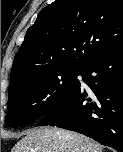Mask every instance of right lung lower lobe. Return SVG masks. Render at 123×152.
Returning a JSON list of instances; mask_svg holds the SVG:
<instances>
[{"label": "right lung lower lobe", "instance_id": "right-lung-lower-lobe-1", "mask_svg": "<svg viewBox=\"0 0 123 152\" xmlns=\"http://www.w3.org/2000/svg\"><path fill=\"white\" fill-rule=\"evenodd\" d=\"M91 92L79 87L39 126L76 131L123 152V42L99 54L81 73Z\"/></svg>", "mask_w": 123, "mask_h": 152}]
</instances>
